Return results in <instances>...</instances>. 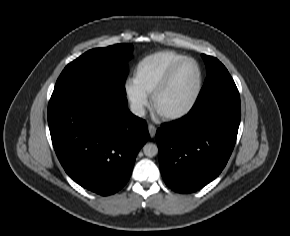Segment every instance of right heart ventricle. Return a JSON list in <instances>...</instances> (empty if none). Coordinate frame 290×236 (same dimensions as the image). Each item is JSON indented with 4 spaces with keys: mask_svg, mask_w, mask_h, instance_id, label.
Instances as JSON below:
<instances>
[{
    "mask_svg": "<svg viewBox=\"0 0 290 236\" xmlns=\"http://www.w3.org/2000/svg\"><path fill=\"white\" fill-rule=\"evenodd\" d=\"M184 56L163 51L146 57L137 67L134 82L149 95L162 81L169 69Z\"/></svg>",
    "mask_w": 290,
    "mask_h": 236,
    "instance_id": "1",
    "label": "right heart ventricle"
}]
</instances>
